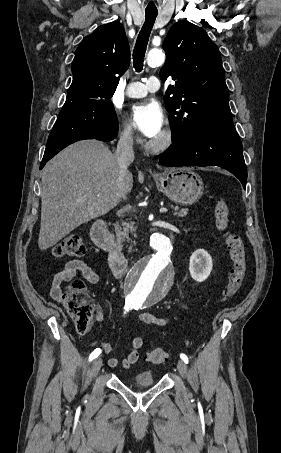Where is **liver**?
<instances>
[{
  "instance_id": "1",
  "label": "liver",
  "mask_w": 281,
  "mask_h": 453,
  "mask_svg": "<svg viewBox=\"0 0 281 453\" xmlns=\"http://www.w3.org/2000/svg\"><path fill=\"white\" fill-rule=\"evenodd\" d=\"M117 174V158L101 140H78L51 158L42 170L39 249L46 251L83 222L117 206ZM132 186L127 172L122 192Z\"/></svg>"
}]
</instances>
